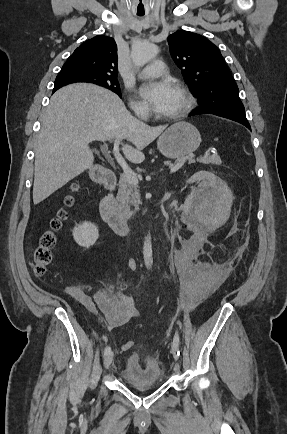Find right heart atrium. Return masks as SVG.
<instances>
[{"instance_id": "d8ad5b80", "label": "right heart atrium", "mask_w": 287, "mask_h": 434, "mask_svg": "<svg viewBox=\"0 0 287 434\" xmlns=\"http://www.w3.org/2000/svg\"><path fill=\"white\" fill-rule=\"evenodd\" d=\"M131 108L136 114H147L148 106L141 100L132 99Z\"/></svg>"}]
</instances>
